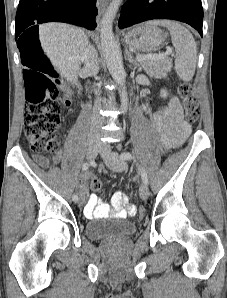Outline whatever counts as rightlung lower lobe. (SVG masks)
Segmentation results:
<instances>
[{
    "mask_svg": "<svg viewBox=\"0 0 227 298\" xmlns=\"http://www.w3.org/2000/svg\"><path fill=\"white\" fill-rule=\"evenodd\" d=\"M96 0H20L16 13L15 39L24 64L25 44L34 36L38 41V25L65 22L94 30L97 26Z\"/></svg>",
    "mask_w": 227,
    "mask_h": 298,
    "instance_id": "98d812e1",
    "label": "right lung lower lobe"
}]
</instances>
